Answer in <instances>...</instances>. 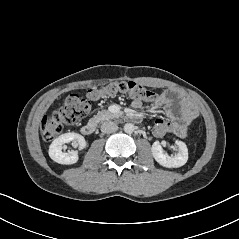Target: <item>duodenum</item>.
<instances>
[{"label": "duodenum", "mask_w": 239, "mask_h": 239, "mask_svg": "<svg viewBox=\"0 0 239 239\" xmlns=\"http://www.w3.org/2000/svg\"><path fill=\"white\" fill-rule=\"evenodd\" d=\"M129 118L135 122L140 121L139 115H130ZM96 129H97V121L95 119H92L82 126L81 132L84 135L89 136V135H92L96 131Z\"/></svg>", "instance_id": "duodenum-1"}]
</instances>
